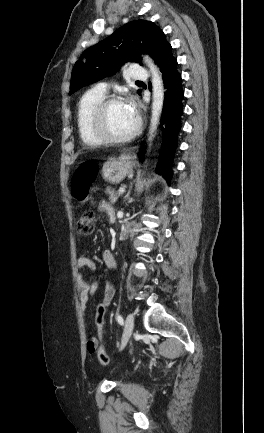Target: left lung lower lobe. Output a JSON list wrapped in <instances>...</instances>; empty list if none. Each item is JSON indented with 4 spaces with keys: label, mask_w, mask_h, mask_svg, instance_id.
Here are the masks:
<instances>
[{
    "label": "left lung lower lobe",
    "mask_w": 264,
    "mask_h": 433,
    "mask_svg": "<svg viewBox=\"0 0 264 433\" xmlns=\"http://www.w3.org/2000/svg\"><path fill=\"white\" fill-rule=\"evenodd\" d=\"M162 72L165 92V100L161 117L163 131L162 147L156 171L163 175L168 181L171 179V166L177 145V134L180 130V117L183 112L181 87V75L177 71V60L172 53L165 55L159 62ZM143 149L140 156L143 159Z\"/></svg>",
    "instance_id": "1"
}]
</instances>
